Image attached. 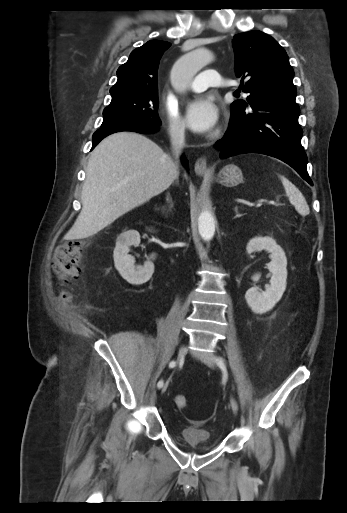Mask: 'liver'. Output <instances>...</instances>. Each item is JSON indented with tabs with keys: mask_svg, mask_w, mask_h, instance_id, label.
<instances>
[{
	"mask_svg": "<svg viewBox=\"0 0 347 513\" xmlns=\"http://www.w3.org/2000/svg\"><path fill=\"white\" fill-rule=\"evenodd\" d=\"M172 160L151 139L116 132L91 152L81 193L82 210L69 239L88 238L162 193L177 178Z\"/></svg>",
	"mask_w": 347,
	"mask_h": 513,
	"instance_id": "obj_1",
	"label": "liver"
}]
</instances>
